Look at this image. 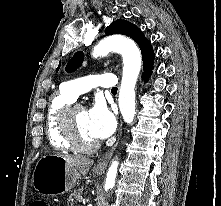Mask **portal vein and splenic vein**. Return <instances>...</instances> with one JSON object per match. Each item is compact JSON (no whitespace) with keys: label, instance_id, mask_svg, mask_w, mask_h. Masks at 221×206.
<instances>
[{"label":"portal vein and splenic vein","instance_id":"portal-vein-and-splenic-vein-1","mask_svg":"<svg viewBox=\"0 0 221 206\" xmlns=\"http://www.w3.org/2000/svg\"><path fill=\"white\" fill-rule=\"evenodd\" d=\"M78 201H79V202H82V201H83L82 196L78 198Z\"/></svg>","mask_w":221,"mask_h":206}]
</instances>
